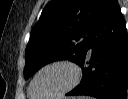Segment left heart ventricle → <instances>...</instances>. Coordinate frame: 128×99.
Instances as JSON below:
<instances>
[{"label": "left heart ventricle", "instance_id": "b2bd125f", "mask_svg": "<svg viewBox=\"0 0 128 99\" xmlns=\"http://www.w3.org/2000/svg\"><path fill=\"white\" fill-rule=\"evenodd\" d=\"M73 80V72L66 66H56L44 70L33 85L35 96H49L66 88Z\"/></svg>", "mask_w": 128, "mask_h": 99}]
</instances>
